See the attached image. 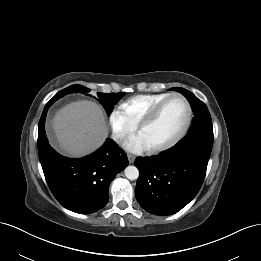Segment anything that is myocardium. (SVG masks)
<instances>
[{"label": "myocardium", "instance_id": "obj_1", "mask_svg": "<svg viewBox=\"0 0 261 261\" xmlns=\"http://www.w3.org/2000/svg\"><path fill=\"white\" fill-rule=\"evenodd\" d=\"M174 98H178L180 99L186 108V118H185V122L183 127L181 128V130L179 131V133L170 141L161 144V145H157V146H152V147H147V149L150 152H161V151H165L168 150L170 148H172L173 146H175L177 143H179L184 136L187 134L191 122H192V107L190 102L188 101V99L183 96L180 93H172L169 94L167 97H165L163 100H161L160 102H158L150 111L149 113L137 124V133L139 134L140 131L147 127L148 125H150L152 122H154V120L157 118V116L159 115L160 111L162 110V108L165 106L166 103H168L170 100L174 99Z\"/></svg>", "mask_w": 261, "mask_h": 261}]
</instances>
